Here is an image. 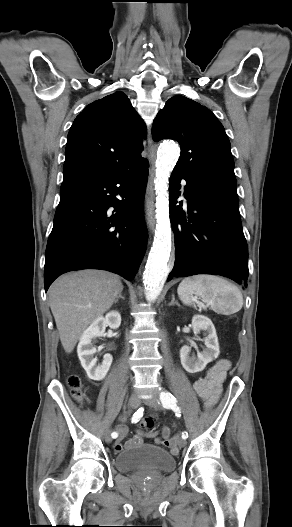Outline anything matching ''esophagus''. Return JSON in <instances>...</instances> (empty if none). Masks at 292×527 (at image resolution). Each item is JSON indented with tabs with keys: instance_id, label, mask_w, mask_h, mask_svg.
<instances>
[{
	"instance_id": "esophagus-1",
	"label": "esophagus",
	"mask_w": 292,
	"mask_h": 527,
	"mask_svg": "<svg viewBox=\"0 0 292 527\" xmlns=\"http://www.w3.org/2000/svg\"><path fill=\"white\" fill-rule=\"evenodd\" d=\"M148 147H149V151L151 153L152 147H153V140H152L151 137H149V139H148ZM150 160H151V163H152V166H153V159H152V157H150Z\"/></svg>"
}]
</instances>
